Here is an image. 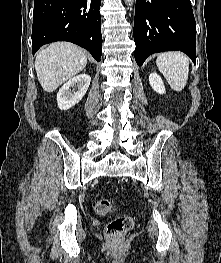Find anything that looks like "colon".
<instances>
[{"instance_id":"1","label":"colon","mask_w":221,"mask_h":263,"mask_svg":"<svg viewBox=\"0 0 221 263\" xmlns=\"http://www.w3.org/2000/svg\"><path fill=\"white\" fill-rule=\"evenodd\" d=\"M95 211L98 215L105 216L113 212V205L109 199H101L96 203ZM133 224L131 216L116 217L106 225V235L114 243H120L133 228Z\"/></svg>"}]
</instances>
